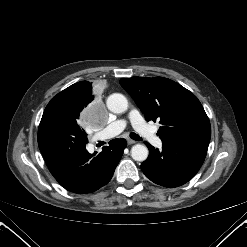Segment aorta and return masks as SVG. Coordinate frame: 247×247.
I'll return each mask as SVG.
<instances>
[{"label":"aorta","mask_w":247,"mask_h":247,"mask_svg":"<svg viewBox=\"0 0 247 247\" xmlns=\"http://www.w3.org/2000/svg\"><path fill=\"white\" fill-rule=\"evenodd\" d=\"M107 108L116 114L124 113L128 109V100L120 93L111 94L106 101ZM149 154L148 148L142 144H136L131 148V157L135 161L143 162Z\"/></svg>","instance_id":"obj_1"}]
</instances>
